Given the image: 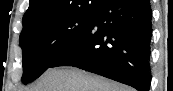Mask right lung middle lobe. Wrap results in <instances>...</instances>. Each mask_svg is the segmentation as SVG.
<instances>
[{
  "mask_svg": "<svg viewBox=\"0 0 173 91\" xmlns=\"http://www.w3.org/2000/svg\"><path fill=\"white\" fill-rule=\"evenodd\" d=\"M100 2V1H98ZM94 10L68 14L24 28L20 35L24 84L43 74L89 27Z\"/></svg>",
  "mask_w": 173,
  "mask_h": 91,
  "instance_id": "right-lung-middle-lobe-1",
  "label": "right lung middle lobe"
}]
</instances>
